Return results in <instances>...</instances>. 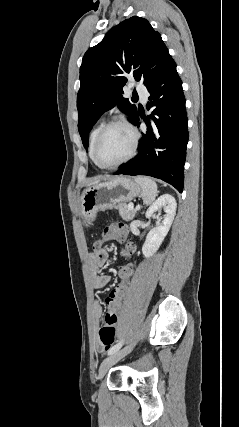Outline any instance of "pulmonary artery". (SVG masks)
Instances as JSON below:
<instances>
[{
    "label": "pulmonary artery",
    "mask_w": 239,
    "mask_h": 427,
    "mask_svg": "<svg viewBox=\"0 0 239 427\" xmlns=\"http://www.w3.org/2000/svg\"><path fill=\"white\" fill-rule=\"evenodd\" d=\"M136 90L140 94V96L142 97L143 100L147 99L148 91H147V88L143 84H138L136 86Z\"/></svg>",
    "instance_id": "1"
}]
</instances>
